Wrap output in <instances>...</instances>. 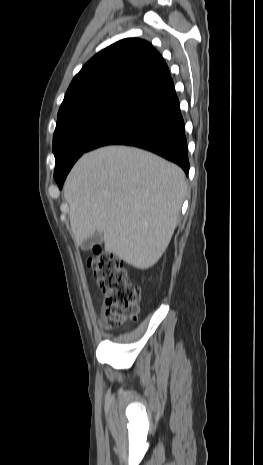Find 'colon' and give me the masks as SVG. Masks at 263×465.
Masks as SVG:
<instances>
[{
	"label": "colon",
	"instance_id": "colon-1",
	"mask_svg": "<svg viewBox=\"0 0 263 465\" xmlns=\"http://www.w3.org/2000/svg\"><path fill=\"white\" fill-rule=\"evenodd\" d=\"M88 264L105 295L106 327L115 328L126 320H134L139 312V293L122 261L96 246Z\"/></svg>",
	"mask_w": 263,
	"mask_h": 465
}]
</instances>
